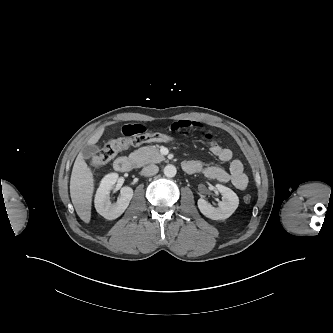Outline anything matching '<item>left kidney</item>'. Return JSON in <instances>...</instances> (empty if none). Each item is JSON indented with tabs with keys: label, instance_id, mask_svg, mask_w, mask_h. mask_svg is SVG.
I'll return each mask as SVG.
<instances>
[{
	"label": "left kidney",
	"instance_id": "obj_1",
	"mask_svg": "<svg viewBox=\"0 0 333 333\" xmlns=\"http://www.w3.org/2000/svg\"><path fill=\"white\" fill-rule=\"evenodd\" d=\"M217 190L222 194V201L218 203L217 207H213L204 198L198 199V208L200 212L212 220H224L229 218L237 209L239 205V198L234 191L230 188L217 184Z\"/></svg>",
	"mask_w": 333,
	"mask_h": 333
}]
</instances>
